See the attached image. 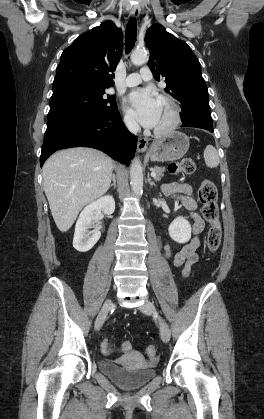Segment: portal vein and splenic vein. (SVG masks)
<instances>
[{
	"label": "portal vein and splenic vein",
	"mask_w": 264,
	"mask_h": 419,
	"mask_svg": "<svg viewBox=\"0 0 264 419\" xmlns=\"http://www.w3.org/2000/svg\"><path fill=\"white\" fill-rule=\"evenodd\" d=\"M152 170V172H151V176L153 177V178H155L156 177V172L154 171V169H151Z\"/></svg>",
	"instance_id": "18ae733b"
}]
</instances>
